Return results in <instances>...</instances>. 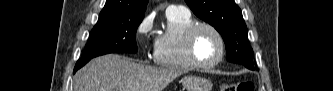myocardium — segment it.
<instances>
[{
    "mask_svg": "<svg viewBox=\"0 0 333 91\" xmlns=\"http://www.w3.org/2000/svg\"><path fill=\"white\" fill-rule=\"evenodd\" d=\"M201 29H208L211 32H213L220 44V53L217 59L210 63H202L201 61L198 60L195 54V38ZM184 43H185V51L187 58L195 68L212 69L217 65H219L225 57L226 42L224 36L222 35V33L219 31L218 28H216L214 25L210 23L199 22L192 25L185 33Z\"/></svg>",
    "mask_w": 333,
    "mask_h": 91,
    "instance_id": "f54148a6",
    "label": "myocardium"
}]
</instances>
